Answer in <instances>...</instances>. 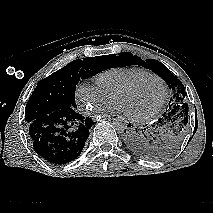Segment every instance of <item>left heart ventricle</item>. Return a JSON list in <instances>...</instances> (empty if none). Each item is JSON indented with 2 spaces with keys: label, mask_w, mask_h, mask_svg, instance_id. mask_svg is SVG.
Listing matches in <instances>:
<instances>
[{
  "label": "left heart ventricle",
  "mask_w": 213,
  "mask_h": 213,
  "mask_svg": "<svg viewBox=\"0 0 213 213\" xmlns=\"http://www.w3.org/2000/svg\"><path fill=\"white\" fill-rule=\"evenodd\" d=\"M162 86L152 77L145 78L129 91L119 95L116 102L129 115H142L152 110L162 98Z\"/></svg>",
  "instance_id": "1"
}]
</instances>
